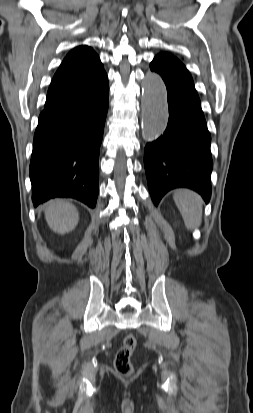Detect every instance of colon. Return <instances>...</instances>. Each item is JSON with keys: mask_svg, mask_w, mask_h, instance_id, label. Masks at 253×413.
Returning a JSON list of instances; mask_svg holds the SVG:
<instances>
[{"mask_svg": "<svg viewBox=\"0 0 253 413\" xmlns=\"http://www.w3.org/2000/svg\"><path fill=\"white\" fill-rule=\"evenodd\" d=\"M137 340L133 334L125 336L122 346L115 356V369L122 376H129L133 373L131 357L136 349Z\"/></svg>", "mask_w": 253, "mask_h": 413, "instance_id": "5ec220e1", "label": "colon"}]
</instances>
